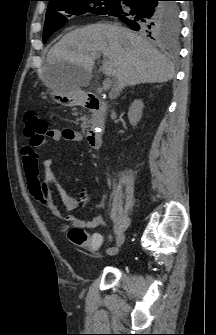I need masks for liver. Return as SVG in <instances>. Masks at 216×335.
Segmentation results:
<instances>
[{"label": "liver", "instance_id": "1", "mask_svg": "<svg viewBox=\"0 0 216 335\" xmlns=\"http://www.w3.org/2000/svg\"><path fill=\"white\" fill-rule=\"evenodd\" d=\"M100 54L104 57L103 74L114 79L112 91L116 93L125 86L163 83L175 76L173 63L143 37L108 23L88 25L65 34L49 50L44 73L59 71L79 89L88 85Z\"/></svg>", "mask_w": 216, "mask_h": 335}]
</instances>
